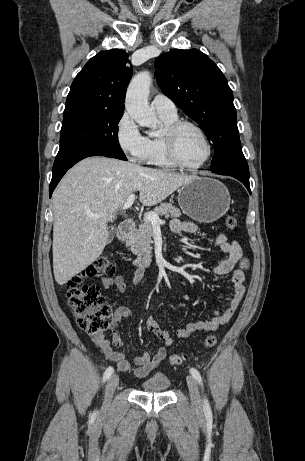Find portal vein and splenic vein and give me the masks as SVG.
<instances>
[{"label":"portal vein and splenic vein","mask_w":305,"mask_h":461,"mask_svg":"<svg viewBox=\"0 0 305 461\" xmlns=\"http://www.w3.org/2000/svg\"><path fill=\"white\" fill-rule=\"evenodd\" d=\"M135 200V194L132 193L126 200V202L123 204L121 207L123 210H126L130 208ZM105 216V214H89V217L93 220L99 219L101 217ZM144 218L149 220L152 224H160L162 221L159 218V215L153 212H147L144 214Z\"/></svg>","instance_id":"18ae733b"}]
</instances>
